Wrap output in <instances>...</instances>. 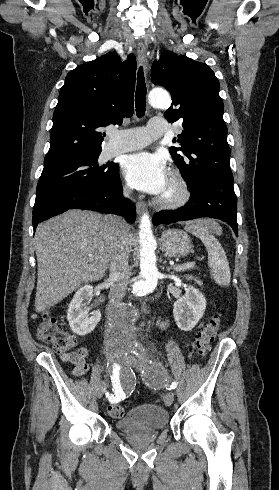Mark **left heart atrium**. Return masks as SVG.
<instances>
[{
    "label": "left heart atrium",
    "instance_id": "39dd6f15",
    "mask_svg": "<svg viewBox=\"0 0 279 490\" xmlns=\"http://www.w3.org/2000/svg\"><path fill=\"white\" fill-rule=\"evenodd\" d=\"M123 173L130 186L152 195L164 196L170 184L165 160L157 154L139 152L128 156Z\"/></svg>",
    "mask_w": 279,
    "mask_h": 490
}]
</instances>
